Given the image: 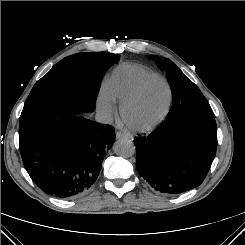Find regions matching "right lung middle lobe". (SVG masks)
Masks as SVG:
<instances>
[{
	"label": "right lung middle lobe",
	"instance_id": "obj_1",
	"mask_svg": "<svg viewBox=\"0 0 245 245\" xmlns=\"http://www.w3.org/2000/svg\"><path fill=\"white\" fill-rule=\"evenodd\" d=\"M88 55L99 58L104 71L119 61L118 54L89 52L58 62L31 90L20 116L19 136L59 116L94 111L100 82L90 80L78 63L80 57Z\"/></svg>",
	"mask_w": 245,
	"mask_h": 245
}]
</instances>
